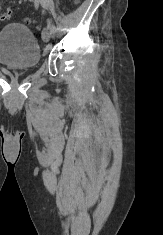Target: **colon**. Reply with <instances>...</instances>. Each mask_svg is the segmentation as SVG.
<instances>
[{
	"mask_svg": "<svg viewBox=\"0 0 163 235\" xmlns=\"http://www.w3.org/2000/svg\"><path fill=\"white\" fill-rule=\"evenodd\" d=\"M79 0H75L76 3H78ZM12 16V11L11 10H6L3 14L0 15L1 20H8ZM27 23H31V19H26Z\"/></svg>",
	"mask_w": 163,
	"mask_h": 235,
	"instance_id": "1",
	"label": "colon"
}]
</instances>
